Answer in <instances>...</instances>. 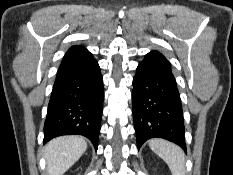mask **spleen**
<instances>
[{"mask_svg":"<svg viewBox=\"0 0 233 175\" xmlns=\"http://www.w3.org/2000/svg\"><path fill=\"white\" fill-rule=\"evenodd\" d=\"M149 146L167 163L172 175H185V156L179 146L158 138L149 140Z\"/></svg>","mask_w":233,"mask_h":175,"instance_id":"spleen-1","label":"spleen"}]
</instances>
